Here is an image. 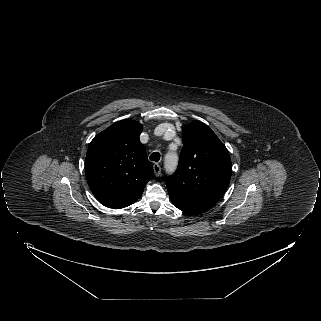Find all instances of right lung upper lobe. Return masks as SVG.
<instances>
[{"instance_id":"1","label":"right lung upper lobe","mask_w":321,"mask_h":321,"mask_svg":"<svg viewBox=\"0 0 321 321\" xmlns=\"http://www.w3.org/2000/svg\"><path fill=\"white\" fill-rule=\"evenodd\" d=\"M143 126L122 120L97 134L85 160V173L92 193L109 208L133 204L154 177L144 146L139 140Z\"/></svg>"}]
</instances>
